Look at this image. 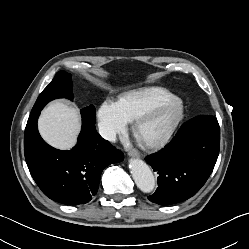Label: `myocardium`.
<instances>
[{
  "label": "myocardium",
  "mask_w": 249,
  "mask_h": 249,
  "mask_svg": "<svg viewBox=\"0 0 249 249\" xmlns=\"http://www.w3.org/2000/svg\"><path fill=\"white\" fill-rule=\"evenodd\" d=\"M162 109H167L172 113V118L167 125V127L160 132L158 135L148 139L142 140L143 143L150 147H158L165 143L174 133L177 128L183 114V103L182 100L178 97H172L168 100L161 101L145 111H143L135 120L133 124L134 133L139 137V129L142 124H144L148 119L154 116L158 111ZM140 138V137H139Z\"/></svg>",
  "instance_id": "obj_1"
}]
</instances>
